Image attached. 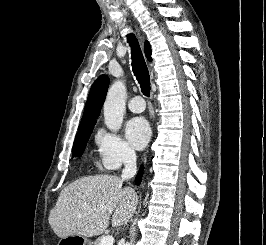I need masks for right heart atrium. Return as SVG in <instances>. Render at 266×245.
I'll use <instances>...</instances> for the list:
<instances>
[{
  "instance_id": "right-heart-atrium-1",
  "label": "right heart atrium",
  "mask_w": 266,
  "mask_h": 245,
  "mask_svg": "<svg viewBox=\"0 0 266 245\" xmlns=\"http://www.w3.org/2000/svg\"><path fill=\"white\" fill-rule=\"evenodd\" d=\"M94 140L100 162L106 170H118L135 159L133 149L117 132L99 128L95 133Z\"/></svg>"
}]
</instances>
